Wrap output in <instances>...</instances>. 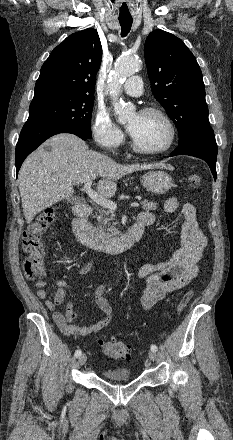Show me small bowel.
Instances as JSON below:
<instances>
[{"instance_id": "small-bowel-1", "label": "small bowel", "mask_w": 233, "mask_h": 440, "mask_svg": "<svg viewBox=\"0 0 233 440\" xmlns=\"http://www.w3.org/2000/svg\"><path fill=\"white\" fill-rule=\"evenodd\" d=\"M164 209L167 213H179L183 218L181 231V246L171 257L159 262L143 264L138 271L139 279L145 284L144 293L140 299L141 306L149 309L169 292L186 286L198 273L199 263L207 247V238L199 227L196 209L190 202L182 203L177 197L167 199ZM138 218L155 221L151 212H142ZM90 260L79 268V274L84 275L93 267ZM37 296L45 300L46 307L53 312V319L60 331L68 336H86L100 331L108 326L113 319V308L104 297L106 285H100L95 290V302L104 313V318L90 325L80 326L76 323L77 314L72 302L66 305L65 313L56 311L57 306L66 298L67 282L57 280V290L52 300L47 298L46 282L43 279L36 281Z\"/></svg>"}]
</instances>
